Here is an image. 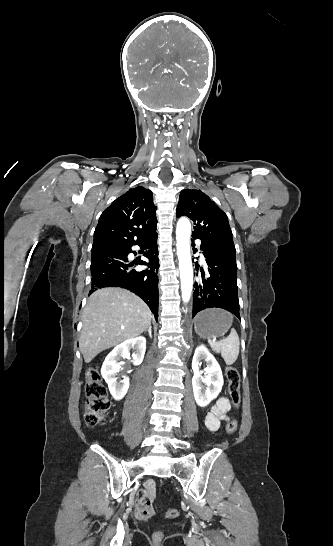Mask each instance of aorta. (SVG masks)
Returning <instances> with one entry per match:
<instances>
[{
    "label": "aorta",
    "mask_w": 333,
    "mask_h": 546,
    "mask_svg": "<svg viewBox=\"0 0 333 546\" xmlns=\"http://www.w3.org/2000/svg\"><path fill=\"white\" fill-rule=\"evenodd\" d=\"M190 221L182 217L177 222L176 240L177 255L179 260L182 299L188 302L193 288V269L190 256Z\"/></svg>",
    "instance_id": "aorta-1"
}]
</instances>
